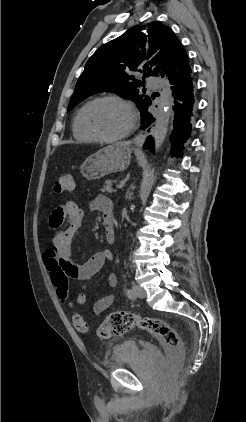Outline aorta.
Here are the masks:
<instances>
[{"mask_svg": "<svg viewBox=\"0 0 246 422\" xmlns=\"http://www.w3.org/2000/svg\"><path fill=\"white\" fill-rule=\"evenodd\" d=\"M171 105L172 91L170 89L169 82L165 80L154 126V142L156 152L162 147L168 132Z\"/></svg>", "mask_w": 246, "mask_h": 422, "instance_id": "1", "label": "aorta"}]
</instances>
